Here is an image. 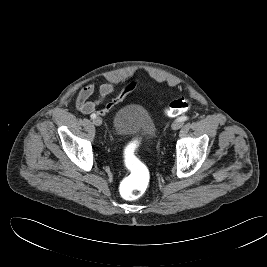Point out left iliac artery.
I'll return each instance as SVG.
<instances>
[{
  "label": "left iliac artery",
  "mask_w": 267,
  "mask_h": 267,
  "mask_svg": "<svg viewBox=\"0 0 267 267\" xmlns=\"http://www.w3.org/2000/svg\"><path fill=\"white\" fill-rule=\"evenodd\" d=\"M189 118L187 116H181L179 117L177 120H180V121H187Z\"/></svg>",
  "instance_id": "44dca946"
}]
</instances>
